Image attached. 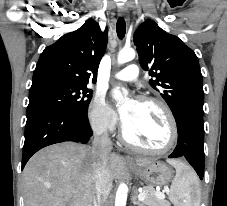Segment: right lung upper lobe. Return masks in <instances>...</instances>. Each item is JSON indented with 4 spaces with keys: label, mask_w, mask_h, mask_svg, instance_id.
I'll list each match as a JSON object with an SVG mask.
<instances>
[{
    "label": "right lung upper lobe",
    "mask_w": 227,
    "mask_h": 206,
    "mask_svg": "<svg viewBox=\"0 0 227 206\" xmlns=\"http://www.w3.org/2000/svg\"><path fill=\"white\" fill-rule=\"evenodd\" d=\"M104 32L93 20H87L74 32L67 33L42 52L32 83L58 80L87 86L97 80V71L107 44Z\"/></svg>",
    "instance_id": "1"
}]
</instances>
